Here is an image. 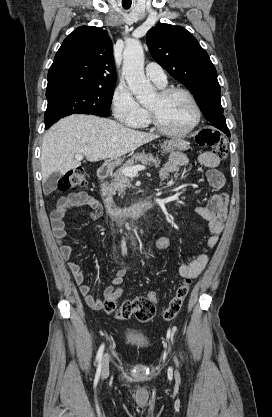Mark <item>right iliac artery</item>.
Returning a JSON list of instances; mask_svg holds the SVG:
<instances>
[{
  "label": "right iliac artery",
  "instance_id": "82829eb1",
  "mask_svg": "<svg viewBox=\"0 0 272 417\" xmlns=\"http://www.w3.org/2000/svg\"><path fill=\"white\" fill-rule=\"evenodd\" d=\"M103 351H104V344H102L97 352L96 355V360L99 362L98 365V369H97V374L99 375L101 372V360H102V356H103Z\"/></svg>",
  "mask_w": 272,
  "mask_h": 417
}]
</instances>
